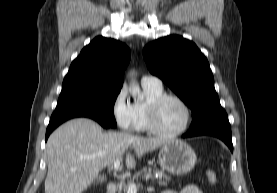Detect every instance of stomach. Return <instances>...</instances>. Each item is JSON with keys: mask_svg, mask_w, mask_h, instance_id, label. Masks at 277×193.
<instances>
[{"mask_svg": "<svg viewBox=\"0 0 277 193\" xmlns=\"http://www.w3.org/2000/svg\"><path fill=\"white\" fill-rule=\"evenodd\" d=\"M161 167L173 175L190 172L197 161L194 150L186 142L178 139L168 140L159 151Z\"/></svg>", "mask_w": 277, "mask_h": 193, "instance_id": "1", "label": "stomach"}]
</instances>
